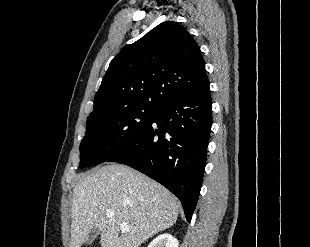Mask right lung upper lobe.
Returning <instances> with one entry per match:
<instances>
[{"label":"right lung upper lobe","mask_w":310,"mask_h":247,"mask_svg":"<svg viewBox=\"0 0 310 247\" xmlns=\"http://www.w3.org/2000/svg\"><path fill=\"white\" fill-rule=\"evenodd\" d=\"M207 81L197 43L182 25L166 21L111 61L88 120L127 108L157 110Z\"/></svg>","instance_id":"cb5924a9"}]
</instances>
